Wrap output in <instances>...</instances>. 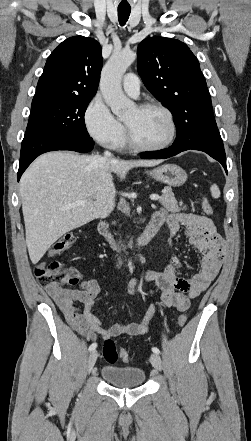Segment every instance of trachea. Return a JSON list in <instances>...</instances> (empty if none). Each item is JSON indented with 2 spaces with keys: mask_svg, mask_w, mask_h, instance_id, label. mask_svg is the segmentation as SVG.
Masks as SVG:
<instances>
[{
  "mask_svg": "<svg viewBox=\"0 0 251 441\" xmlns=\"http://www.w3.org/2000/svg\"><path fill=\"white\" fill-rule=\"evenodd\" d=\"M131 8H118V20L121 26L125 25L129 16Z\"/></svg>",
  "mask_w": 251,
  "mask_h": 441,
  "instance_id": "1",
  "label": "trachea"
}]
</instances>
